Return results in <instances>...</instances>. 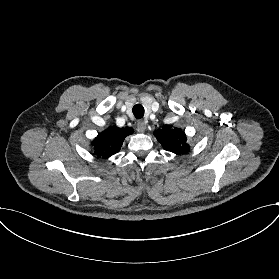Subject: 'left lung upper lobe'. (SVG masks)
Listing matches in <instances>:
<instances>
[{"mask_svg": "<svg viewBox=\"0 0 279 279\" xmlns=\"http://www.w3.org/2000/svg\"><path fill=\"white\" fill-rule=\"evenodd\" d=\"M154 135L167 151L180 154L189 150V145L186 144V135L179 128L166 125L162 129L156 130Z\"/></svg>", "mask_w": 279, "mask_h": 279, "instance_id": "1", "label": "left lung upper lobe"}]
</instances>
